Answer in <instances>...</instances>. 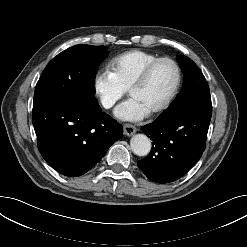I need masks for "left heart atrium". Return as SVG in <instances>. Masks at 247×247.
Here are the masks:
<instances>
[{"mask_svg":"<svg viewBox=\"0 0 247 247\" xmlns=\"http://www.w3.org/2000/svg\"><path fill=\"white\" fill-rule=\"evenodd\" d=\"M150 110L135 98H130L115 110V116L124 121H139L144 119Z\"/></svg>","mask_w":247,"mask_h":247,"instance_id":"obj_1","label":"left heart atrium"}]
</instances>
